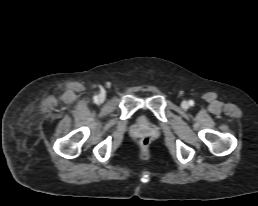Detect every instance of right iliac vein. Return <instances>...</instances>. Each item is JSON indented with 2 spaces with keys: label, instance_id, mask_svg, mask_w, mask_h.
I'll return each instance as SVG.
<instances>
[{
  "label": "right iliac vein",
  "instance_id": "1",
  "mask_svg": "<svg viewBox=\"0 0 258 206\" xmlns=\"http://www.w3.org/2000/svg\"><path fill=\"white\" fill-rule=\"evenodd\" d=\"M105 100V96L103 94L98 96V102L102 103Z\"/></svg>",
  "mask_w": 258,
  "mask_h": 206
}]
</instances>
